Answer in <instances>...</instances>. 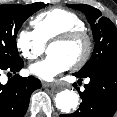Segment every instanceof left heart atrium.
Instances as JSON below:
<instances>
[{"label": "left heart atrium", "mask_w": 117, "mask_h": 117, "mask_svg": "<svg viewBox=\"0 0 117 117\" xmlns=\"http://www.w3.org/2000/svg\"><path fill=\"white\" fill-rule=\"evenodd\" d=\"M71 64L61 56L48 55L43 60L29 67L31 74L45 81H52L56 76L65 72Z\"/></svg>", "instance_id": "left-heart-atrium-1"}]
</instances>
